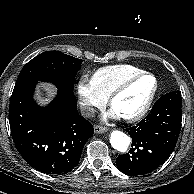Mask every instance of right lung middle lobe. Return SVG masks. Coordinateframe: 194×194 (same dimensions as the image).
<instances>
[{
    "label": "right lung middle lobe",
    "mask_w": 194,
    "mask_h": 194,
    "mask_svg": "<svg viewBox=\"0 0 194 194\" xmlns=\"http://www.w3.org/2000/svg\"><path fill=\"white\" fill-rule=\"evenodd\" d=\"M83 60L58 51H46L29 61L16 84L27 81L52 82L59 89L73 90L74 79Z\"/></svg>",
    "instance_id": "right-lung-middle-lobe-1"
}]
</instances>
